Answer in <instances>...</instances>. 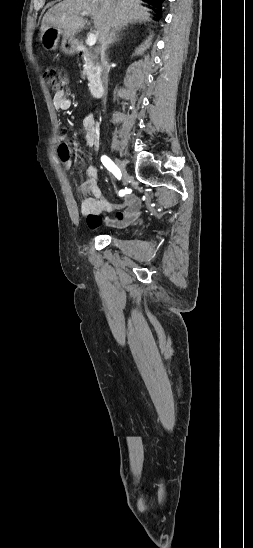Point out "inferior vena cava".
<instances>
[{"mask_svg": "<svg viewBox=\"0 0 253 548\" xmlns=\"http://www.w3.org/2000/svg\"><path fill=\"white\" fill-rule=\"evenodd\" d=\"M109 30H110L109 25H105L103 30H102L100 39H99V42L101 44V47H100L101 81H102V84L104 86L105 91H106L107 86H108V62H107V59H106V56H105V51H106L107 40L109 38ZM103 102H104V105H105L106 97H104ZM100 117L103 119L105 116L102 114Z\"/></svg>", "mask_w": 253, "mask_h": 548, "instance_id": "inferior-vena-cava-1", "label": "inferior vena cava"}]
</instances>
